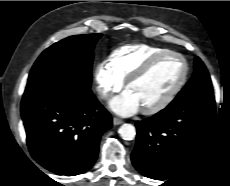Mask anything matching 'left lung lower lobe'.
Segmentation results:
<instances>
[{
  "label": "left lung lower lobe",
  "mask_w": 230,
  "mask_h": 186,
  "mask_svg": "<svg viewBox=\"0 0 230 186\" xmlns=\"http://www.w3.org/2000/svg\"><path fill=\"white\" fill-rule=\"evenodd\" d=\"M215 118L214 95L168 105L136 123L134 167L144 176L166 180L183 169L204 144Z\"/></svg>",
  "instance_id": "1"
}]
</instances>
